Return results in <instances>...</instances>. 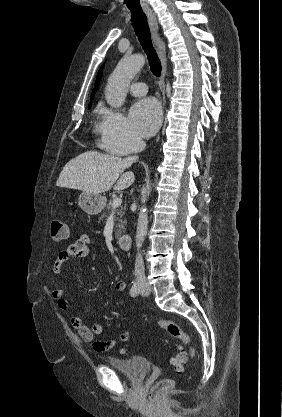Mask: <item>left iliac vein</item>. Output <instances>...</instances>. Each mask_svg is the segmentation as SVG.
Listing matches in <instances>:
<instances>
[{
	"label": "left iliac vein",
	"instance_id": "left-iliac-vein-1",
	"mask_svg": "<svg viewBox=\"0 0 282 417\" xmlns=\"http://www.w3.org/2000/svg\"><path fill=\"white\" fill-rule=\"evenodd\" d=\"M151 292L150 287L147 284H143L140 287V293L142 296H148Z\"/></svg>",
	"mask_w": 282,
	"mask_h": 417
}]
</instances>
